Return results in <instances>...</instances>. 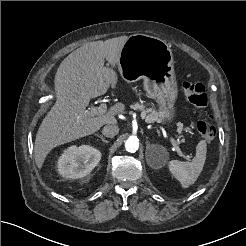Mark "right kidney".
Returning a JSON list of instances; mask_svg holds the SVG:
<instances>
[{
  "label": "right kidney",
  "instance_id": "1",
  "mask_svg": "<svg viewBox=\"0 0 246 246\" xmlns=\"http://www.w3.org/2000/svg\"><path fill=\"white\" fill-rule=\"evenodd\" d=\"M101 160V152L89 145L67 148L57 162L60 175L78 179L88 175Z\"/></svg>",
  "mask_w": 246,
  "mask_h": 246
}]
</instances>
